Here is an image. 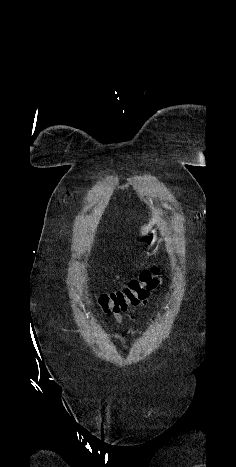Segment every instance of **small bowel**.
<instances>
[{
    "mask_svg": "<svg viewBox=\"0 0 236 467\" xmlns=\"http://www.w3.org/2000/svg\"><path fill=\"white\" fill-rule=\"evenodd\" d=\"M147 305V301H145L141 306L140 309H143ZM127 316L130 320H135L136 316L132 312H127ZM114 319L120 323L122 321V316L120 313H114Z\"/></svg>",
    "mask_w": 236,
    "mask_h": 467,
    "instance_id": "small-bowel-1",
    "label": "small bowel"
}]
</instances>
